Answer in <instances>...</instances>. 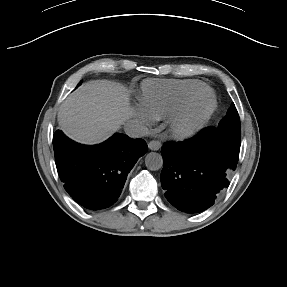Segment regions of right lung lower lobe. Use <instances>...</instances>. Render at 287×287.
I'll list each match as a JSON object with an SVG mask.
<instances>
[{
    "instance_id": "1",
    "label": "right lung lower lobe",
    "mask_w": 287,
    "mask_h": 287,
    "mask_svg": "<svg viewBox=\"0 0 287 287\" xmlns=\"http://www.w3.org/2000/svg\"><path fill=\"white\" fill-rule=\"evenodd\" d=\"M55 162L69 195L82 206L99 210L120 196L127 175L147 150L142 139L116 133L93 146L80 145L60 130L53 136Z\"/></svg>"
}]
</instances>
